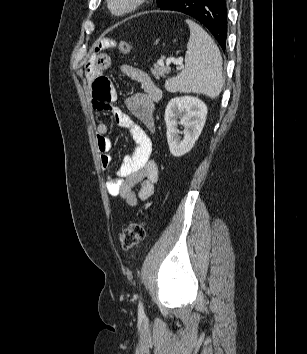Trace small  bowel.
<instances>
[{"label": "small bowel", "mask_w": 307, "mask_h": 354, "mask_svg": "<svg viewBox=\"0 0 307 354\" xmlns=\"http://www.w3.org/2000/svg\"><path fill=\"white\" fill-rule=\"evenodd\" d=\"M112 41L105 40L103 46L110 48ZM110 57L106 53L96 52L85 63V76L92 83V102L95 109L110 113L115 122L128 129L135 143L134 149L125 156L117 170L116 177L106 180V188L111 196H119L126 204L136 206L139 201L149 199L158 181L159 170L155 161L151 160L152 140L150 133L154 131V105L161 99V90L155 85L145 71L131 65L122 66V72L136 81L141 92L126 100L134 121L115 102L117 93L110 80L103 72L110 67ZM108 124L101 121L96 127L97 147L103 169L112 163L110 150L111 139L108 136Z\"/></svg>", "instance_id": "c3829d8e"}]
</instances>
